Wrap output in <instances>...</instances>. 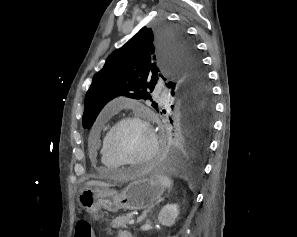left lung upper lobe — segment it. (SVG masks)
I'll use <instances>...</instances> for the list:
<instances>
[{
    "label": "left lung upper lobe",
    "instance_id": "left-lung-upper-lobe-1",
    "mask_svg": "<svg viewBox=\"0 0 297 237\" xmlns=\"http://www.w3.org/2000/svg\"><path fill=\"white\" fill-rule=\"evenodd\" d=\"M158 80L167 82L177 104L189 101L200 107L211 101L201 61L183 31L167 24L143 27L94 75L85 97L84 128H91L103 106L117 96L151 99L149 91ZM152 106L158 111L155 102Z\"/></svg>",
    "mask_w": 297,
    "mask_h": 237
}]
</instances>
